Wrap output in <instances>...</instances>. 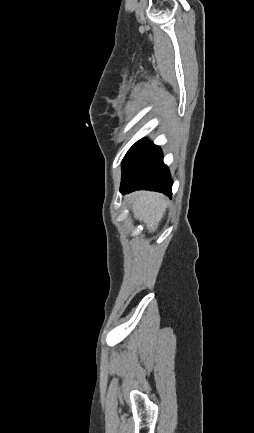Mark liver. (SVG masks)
<instances>
[{"label": "liver", "mask_w": 254, "mask_h": 433, "mask_svg": "<svg viewBox=\"0 0 254 433\" xmlns=\"http://www.w3.org/2000/svg\"><path fill=\"white\" fill-rule=\"evenodd\" d=\"M167 201L157 193L140 192L132 196V209L140 221L145 222L149 232L157 230L165 214Z\"/></svg>", "instance_id": "6515ba94"}]
</instances>
